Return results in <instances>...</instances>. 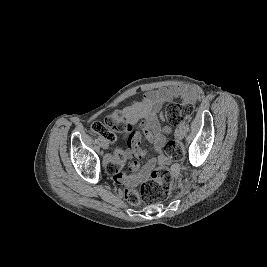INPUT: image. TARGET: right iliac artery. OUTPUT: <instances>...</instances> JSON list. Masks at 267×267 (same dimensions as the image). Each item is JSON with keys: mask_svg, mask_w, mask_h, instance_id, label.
Instances as JSON below:
<instances>
[{"mask_svg": "<svg viewBox=\"0 0 267 267\" xmlns=\"http://www.w3.org/2000/svg\"><path fill=\"white\" fill-rule=\"evenodd\" d=\"M98 139H101V136H98Z\"/></svg>", "mask_w": 267, "mask_h": 267, "instance_id": "obj_1", "label": "right iliac artery"}]
</instances>
